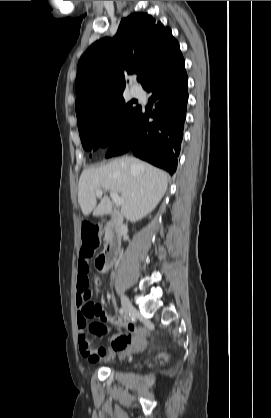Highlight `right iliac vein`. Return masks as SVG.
<instances>
[{"label":"right iliac vein","mask_w":271,"mask_h":418,"mask_svg":"<svg viewBox=\"0 0 271 418\" xmlns=\"http://www.w3.org/2000/svg\"><path fill=\"white\" fill-rule=\"evenodd\" d=\"M121 304H122V308L124 310V313L126 315H128L131 311H133V306H132L131 302L124 295L121 297Z\"/></svg>","instance_id":"1"}]
</instances>
